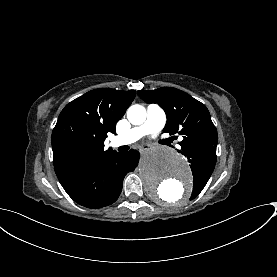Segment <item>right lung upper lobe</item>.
I'll list each match as a JSON object with an SVG mask.
<instances>
[{
    "label": "right lung upper lobe",
    "mask_w": 277,
    "mask_h": 277,
    "mask_svg": "<svg viewBox=\"0 0 277 277\" xmlns=\"http://www.w3.org/2000/svg\"><path fill=\"white\" fill-rule=\"evenodd\" d=\"M135 95L134 90L98 88L64 107L52 132L54 169L59 181L114 151H104V140L108 133H116V123Z\"/></svg>",
    "instance_id": "cb5924a9"
}]
</instances>
